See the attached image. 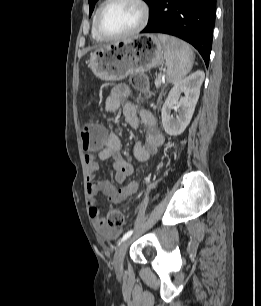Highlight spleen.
I'll list each match as a JSON object with an SVG mask.
<instances>
[{"label":"spleen","mask_w":261,"mask_h":306,"mask_svg":"<svg viewBox=\"0 0 261 306\" xmlns=\"http://www.w3.org/2000/svg\"><path fill=\"white\" fill-rule=\"evenodd\" d=\"M164 47L166 75L169 83L181 81L192 69L194 55L190 46L169 35L158 34Z\"/></svg>","instance_id":"obj_1"}]
</instances>
